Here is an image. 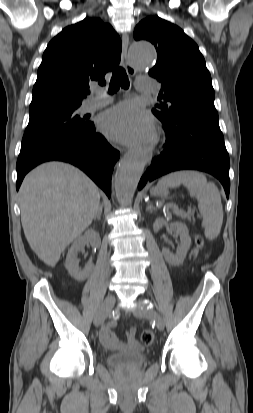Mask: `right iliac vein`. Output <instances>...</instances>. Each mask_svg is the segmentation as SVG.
<instances>
[{
  "label": "right iliac vein",
  "mask_w": 253,
  "mask_h": 413,
  "mask_svg": "<svg viewBox=\"0 0 253 413\" xmlns=\"http://www.w3.org/2000/svg\"><path fill=\"white\" fill-rule=\"evenodd\" d=\"M115 296L109 295L105 298L104 302L102 303L95 319L94 325L99 326L103 323V321L110 315L114 304H115Z\"/></svg>",
  "instance_id": "right-iliac-vein-1"
}]
</instances>
